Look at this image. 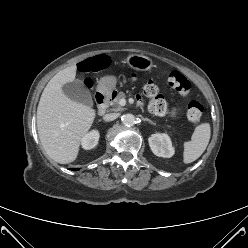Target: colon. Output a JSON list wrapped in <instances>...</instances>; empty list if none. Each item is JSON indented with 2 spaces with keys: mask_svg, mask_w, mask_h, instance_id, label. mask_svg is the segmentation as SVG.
I'll return each instance as SVG.
<instances>
[{
  "mask_svg": "<svg viewBox=\"0 0 248 248\" xmlns=\"http://www.w3.org/2000/svg\"><path fill=\"white\" fill-rule=\"evenodd\" d=\"M104 67L101 59H90L83 61L79 68L82 71H95ZM169 86L180 93L184 98H188L190 89L189 79L179 71H172L168 76ZM144 93L150 99L149 108L157 115L164 116L168 113L165 100L159 95L158 87L151 81L144 85ZM203 113V106L196 100L187 99V118L196 127L200 124Z\"/></svg>",
  "mask_w": 248,
  "mask_h": 248,
  "instance_id": "5ec220e1",
  "label": "colon"
}]
</instances>
